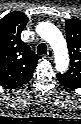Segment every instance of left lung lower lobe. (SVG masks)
Segmentation results:
<instances>
[{
    "label": "left lung lower lobe",
    "mask_w": 81,
    "mask_h": 124,
    "mask_svg": "<svg viewBox=\"0 0 81 124\" xmlns=\"http://www.w3.org/2000/svg\"><path fill=\"white\" fill-rule=\"evenodd\" d=\"M57 79L60 82V84L63 85L64 87H66L68 89H71V90L76 89L72 85V83H70L69 81L64 80V78L59 73L57 74Z\"/></svg>",
    "instance_id": "0a47b994"
}]
</instances>
